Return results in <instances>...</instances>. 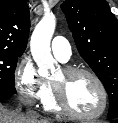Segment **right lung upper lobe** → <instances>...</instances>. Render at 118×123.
<instances>
[{
    "label": "right lung upper lobe",
    "instance_id": "right-lung-upper-lobe-1",
    "mask_svg": "<svg viewBox=\"0 0 118 123\" xmlns=\"http://www.w3.org/2000/svg\"><path fill=\"white\" fill-rule=\"evenodd\" d=\"M30 15L25 0H0V50L23 53L29 35Z\"/></svg>",
    "mask_w": 118,
    "mask_h": 123
}]
</instances>
